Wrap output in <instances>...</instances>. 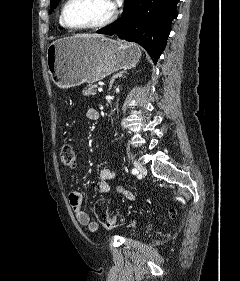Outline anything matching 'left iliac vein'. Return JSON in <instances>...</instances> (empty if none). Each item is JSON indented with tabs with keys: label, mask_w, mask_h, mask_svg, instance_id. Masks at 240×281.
<instances>
[{
	"label": "left iliac vein",
	"mask_w": 240,
	"mask_h": 281,
	"mask_svg": "<svg viewBox=\"0 0 240 281\" xmlns=\"http://www.w3.org/2000/svg\"><path fill=\"white\" fill-rule=\"evenodd\" d=\"M135 167H136L137 170L139 171V175H140L141 177H144V176L147 174V170H146V168L143 166L142 163L136 161V162H135Z\"/></svg>",
	"instance_id": "4c4485c4"
}]
</instances>
